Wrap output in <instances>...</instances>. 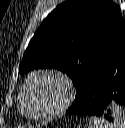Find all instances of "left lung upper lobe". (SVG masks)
I'll return each mask as SVG.
<instances>
[{
    "instance_id": "5c2ea615",
    "label": "left lung upper lobe",
    "mask_w": 125,
    "mask_h": 128,
    "mask_svg": "<svg viewBox=\"0 0 125 128\" xmlns=\"http://www.w3.org/2000/svg\"><path fill=\"white\" fill-rule=\"evenodd\" d=\"M124 30L125 20L112 0H68L38 28L19 72L40 68L65 72L77 89L76 103L90 72Z\"/></svg>"
}]
</instances>
